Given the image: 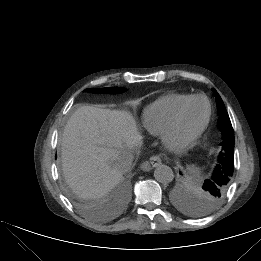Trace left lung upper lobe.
Wrapping results in <instances>:
<instances>
[{
    "instance_id": "5c2ea615",
    "label": "left lung upper lobe",
    "mask_w": 261,
    "mask_h": 261,
    "mask_svg": "<svg viewBox=\"0 0 261 261\" xmlns=\"http://www.w3.org/2000/svg\"><path fill=\"white\" fill-rule=\"evenodd\" d=\"M213 93L216 98L217 111L219 114L218 126L223 140L221 142L223 151L220 152L218 161H220L221 157L225 161L233 162L235 141L234 131L220 95L214 89ZM231 177L232 174L228 173L219 162L213 175L205 180L199 198L190 210L191 213L194 215H206L215 210L227 193Z\"/></svg>"
}]
</instances>
